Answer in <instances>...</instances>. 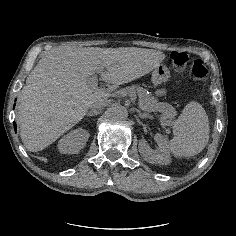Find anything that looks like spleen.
I'll list each match as a JSON object with an SVG mask.
<instances>
[{
	"label": "spleen",
	"mask_w": 236,
	"mask_h": 236,
	"mask_svg": "<svg viewBox=\"0 0 236 236\" xmlns=\"http://www.w3.org/2000/svg\"><path fill=\"white\" fill-rule=\"evenodd\" d=\"M174 137L169 141L177 156H194L201 152L209 139V122L204 108L195 101L185 105L173 126Z\"/></svg>",
	"instance_id": "obj_1"
}]
</instances>
